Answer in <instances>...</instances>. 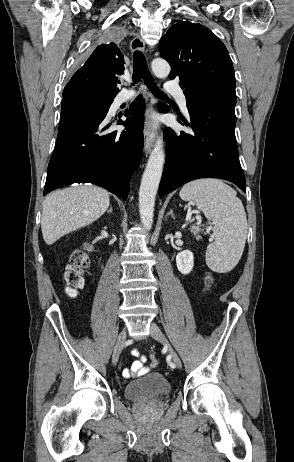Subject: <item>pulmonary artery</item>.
<instances>
[{
	"label": "pulmonary artery",
	"mask_w": 294,
	"mask_h": 462,
	"mask_svg": "<svg viewBox=\"0 0 294 462\" xmlns=\"http://www.w3.org/2000/svg\"><path fill=\"white\" fill-rule=\"evenodd\" d=\"M166 89L167 91L171 92L174 95L181 109L187 114L188 113L187 100L183 93V90L179 86L174 85V84L167 85ZM134 97H135V93H133L130 90L124 89L118 95L116 101L117 103H122V102L129 101L133 99Z\"/></svg>",
	"instance_id": "1"
}]
</instances>
